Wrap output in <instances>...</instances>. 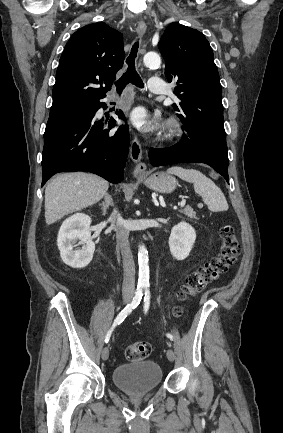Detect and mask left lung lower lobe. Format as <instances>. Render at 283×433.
Here are the masks:
<instances>
[{
	"mask_svg": "<svg viewBox=\"0 0 283 433\" xmlns=\"http://www.w3.org/2000/svg\"><path fill=\"white\" fill-rule=\"evenodd\" d=\"M182 140L169 148H151L150 163L162 166L174 163H205L219 172L229 183L226 134L223 127L203 124L184 125Z\"/></svg>",
	"mask_w": 283,
	"mask_h": 433,
	"instance_id": "1",
	"label": "left lung lower lobe"
}]
</instances>
